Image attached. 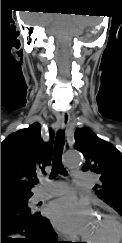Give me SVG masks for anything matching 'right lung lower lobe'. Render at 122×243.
Wrapping results in <instances>:
<instances>
[{"label":"right lung lower lobe","mask_w":122,"mask_h":243,"mask_svg":"<svg viewBox=\"0 0 122 243\" xmlns=\"http://www.w3.org/2000/svg\"><path fill=\"white\" fill-rule=\"evenodd\" d=\"M20 233L23 238L7 237ZM50 221L27 204L1 203V243H57Z\"/></svg>","instance_id":"1"}]
</instances>
